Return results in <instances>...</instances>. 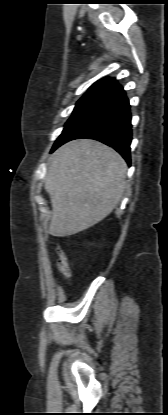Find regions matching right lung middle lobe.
<instances>
[{
	"instance_id": "obj_1",
	"label": "right lung middle lobe",
	"mask_w": 168,
	"mask_h": 415,
	"mask_svg": "<svg viewBox=\"0 0 168 415\" xmlns=\"http://www.w3.org/2000/svg\"><path fill=\"white\" fill-rule=\"evenodd\" d=\"M97 97H98V95H96V94H89V93L84 94L80 98V100L77 102V104L74 108V111H73V115H75L81 108H83L85 105H87L89 102L96 99Z\"/></svg>"
}]
</instances>
